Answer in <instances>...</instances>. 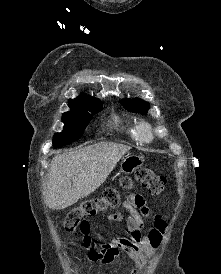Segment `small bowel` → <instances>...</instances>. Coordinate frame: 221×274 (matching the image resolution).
I'll use <instances>...</instances> for the list:
<instances>
[{
  "label": "small bowel",
  "instance_id": "1",
  "mask_svg": "<svg viewBox=\"0 0 221 274\" xmlns=\"http://www.w3.org/2000/svg\"><path fill=\"white\" fill-rule=\"evenodd\" d=\"M122 207L128 212L125 234L105 240L100 235L93 237L92 227L88 219H84L80 226L82 243L92 262L109 264L122 259V253L128 254L134 266H129L131 274H139L149 259L154 256L162 243L167 230V222L161 215H153L146 200L140 194H132L122 202ZM111 222H121V213L107 216ZM151 226L147 234L143 233L144 226ZM109 274V273H105Z\"/></svg>",
  "mask_w": 221,
  "mask_h": 274
}]
</instances>
